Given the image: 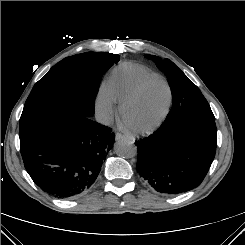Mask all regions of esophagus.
<instances>
[{
    "label": "esophagus",
    "mask_w": 245,
    "mask_h": 245,
    "mask_svg": "<svg viewBox=\"0 0 245 245\" xmlns=\"http://www.w3.org/2000/svg\"><path fill=\"white\" fill-rule=\"evenodd\" d=\"M115 138H116V140H120V139H125V138H127V136L124 135V134H122V133H120V132H117V133L115 134Z\"/></svg>",
    "instance_id": "obj_1"
}]
</instances>
